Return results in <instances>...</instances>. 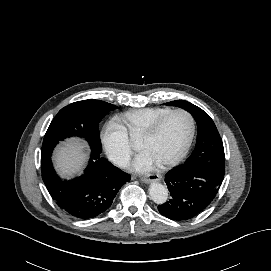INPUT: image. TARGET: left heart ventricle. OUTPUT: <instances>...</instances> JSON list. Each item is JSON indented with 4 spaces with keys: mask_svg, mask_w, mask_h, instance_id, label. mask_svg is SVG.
Wrapping results in <instances>:
<instances>
[{
    "mask_svg": "<svg viewBox=\"0 0 271 271\" xmlns=\"http://www.w3.org/2000/svg\"><path fill=\"white\" fill-rule=\"evenodd\" d=\"M191 130L189 117L176 113L169 117L156 134L141 137L139 147L148 151L157 162H163L181 151L186 144Z\"/></svg>",
    "mask_w": 271,
    "mask_h": 271,
    "instance_id": "left-heart-ventricle-1",
    "label": "left heart ventricle"
}]
</instances>
